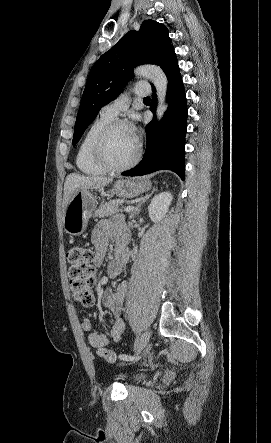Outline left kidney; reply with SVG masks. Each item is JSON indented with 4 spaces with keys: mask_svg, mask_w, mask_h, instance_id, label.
<instances>
[{
    "mask_svg": "<svg viewBox=\"0 0 271 443\" xmlns=\"http://www.w3.org/2000/svg\"><path fill=\"white\" fill-rule=\"evenodd\" d=\"M172 200L173 198L169 192H162V194H158V196L153 198L148 206L149 218H151L152 222L164 220Z\"/></svg>",
    "mask_w": 271,
    "mask_h": 443,
    "instance_id": "5707ae66",
    "label": "left kidney"
}]
</instances>
